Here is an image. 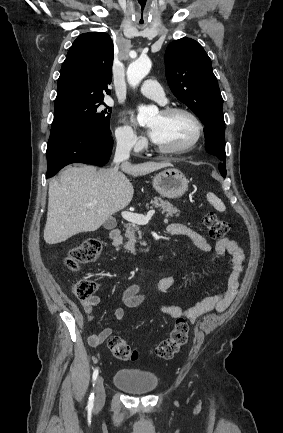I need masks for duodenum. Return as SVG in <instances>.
<instances>
[{"label":"duodenum","instance_id":"obj_1","mask_svg":"<svg viewBox=\"0 0 283 433\" xmlns=\"http://www.w3.org/2000/svg\"><path fill=\"white\" fill-rule=\"evenodd\" d=\"M109 238L115 246H119L122 242L121 230L118 228L112 229L109 233Z\"/></svg>","mask_w":283,"mask_h":433}]
</instances>
